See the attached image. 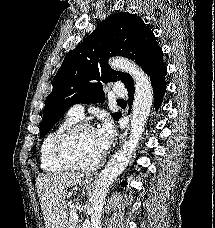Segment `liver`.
<instances>
[{
  "label": "liver",
  "mask_w": 215,
  "mask_h": 228,
  "mask_svg": "<svg viewBox=\"0 0 215 228\" xmlns=\"http://www.w3.org/2000/svg\"><path fill=\"white\" fill-rule=\"evenodd\" d=\"M82 174H40L36 188L46 228H66V192L82 182Z\"/></svg>",
  "instance_id": "obj_1"
}]
</instances>
